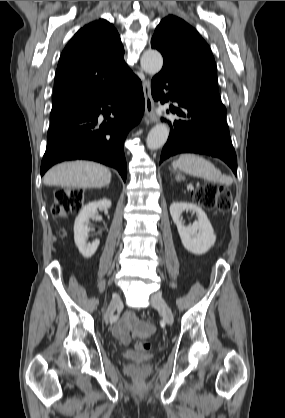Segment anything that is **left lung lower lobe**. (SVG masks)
Wrapping results in <instances>:
<instances>
[{"label":"left lung lower lobe","instance_id":"0a47b994","mask_svg":"<svg viewBox=\"0 0 285 418\" xmlns=\"http://www.w3.org/2000/svg\"><path fill=\"white\" fill-rule=\"evenodd\" d=\"M163 89L168 93L164 94ZM151 92L155 101L172 100L182 108H170L183 119L168 122L170 135L162 149L160 163L180 153L207 154L222 159L237 175L236 153L221 99L190 86L168 69H162L153 77Z\"/></svg>","mask_w":285,"mask_h":418}]
</instances>
